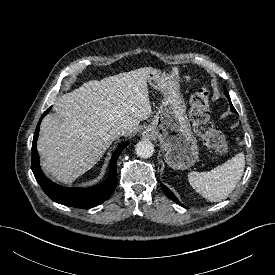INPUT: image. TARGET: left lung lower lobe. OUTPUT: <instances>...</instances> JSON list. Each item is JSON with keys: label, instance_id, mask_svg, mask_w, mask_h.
I'll return each mask as SVG.
<instances>
[{"label": "left lung lower lobe", "instance_id": "1", "mask_svg": "<svg viewBox=\"0 0 275 275\" xmlns=\"http://www.w3.org/2000/svg\"><path fill=\"white\" fill-rule=\"evenodd\" d=\"M226 97L228 98L229 102H230V108L233 112H236L235 108L233 107L231 100H230V96L227 93ZM162 190L164 191V193L167 195L168 198H170L171 200L177 202L178 204H180V202L178 201V199L176 198V196L166 187L164 186L162 183H160ZM184 207V205H181Z\"/></svg>", "mask_w": 275, "mask_h": 275}]
</instances>
